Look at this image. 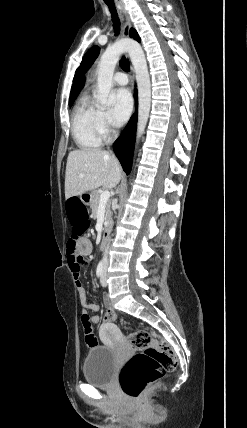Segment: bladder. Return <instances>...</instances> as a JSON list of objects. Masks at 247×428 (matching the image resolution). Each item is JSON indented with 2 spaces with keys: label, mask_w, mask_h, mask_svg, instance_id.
<instances>
[{
  "label": "bladder",
  "mask_w": 247,
  "mask_h": 428,
  "mask_svg": "<svg viewBox=\"0 0 247 428\" xmlns=\"http://www.w3.org/2000/svg\"><path fill=\"white\" fill-rule=\"evenodd\" d=\"M118 367V356L107 346L92 347L83 364L84 379L94 386H109Z\"/></svg>",
  "instance_id": "bladder-1"
}]
</instances>
